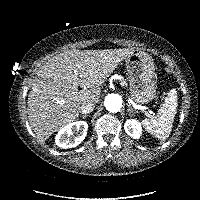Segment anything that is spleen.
<instances>
[{
	"label": "spleen",
	"instance_id": "obj_1",
	"mask_svg": "<svg viewBox=\"0 0 200 200\" xmlns=\"http://www.w3.org/2000/svg\"><path fill=\"white\" fill-rule=\"evenodd\" d=\"M177 99V91L171 89L156 116L142 121L145 130L161 141L166 140L172 131L177 111Z\"/></svg>",
	"mask_w": 200,
	"mask_h": 200
}]
</instances>
